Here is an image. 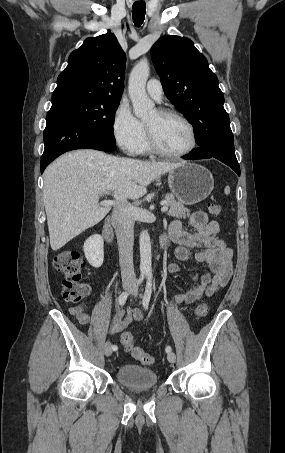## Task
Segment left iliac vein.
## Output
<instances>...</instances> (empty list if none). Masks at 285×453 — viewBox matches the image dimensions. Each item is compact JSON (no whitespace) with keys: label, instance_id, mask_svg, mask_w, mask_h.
I'll list each match as a JSON object with an SVG mask.
<instances>
[{"label":"left iliac vein","instance_id":"left-iliac-vein-1","mask_svg":"<svg viewBox=\"0 0 285 453\" xmlns=\"http://www.w3.org/2000/svg\"><path fill=\"white\" fill-rule=\"evenodd\" d=\"M137 293H138L137 290H135V291L133 292V295H134V296H137ZM167 359H168V361H169L170 363H174V362L176 361V355H175L173 352H169V353L167 354Z\"/></svg>","mask_w":285,"mask_h":453}]
</instances>
